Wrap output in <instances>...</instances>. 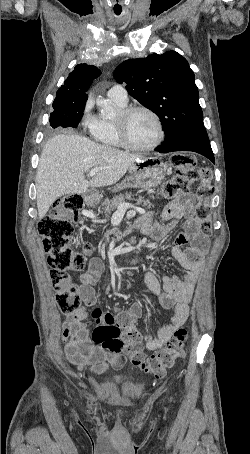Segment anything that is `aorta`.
<instances>
[{
	"instance_id": "aorta-1",
	"label": "aorta",
	"mask_w": 250,
	"mask_h": 454,
	"mask_svg": "<svg viewBox=\"0 0 250 454\" xmlns=\"http://www.w3.org/2000/svg\"><path fill=\"white\" fill-rule=\"evenodd\" d=\"M97 105L101 107L104 112H110L113 110L111 103L104 99L98 100Z\"/></svg>"
}]
</instances>
